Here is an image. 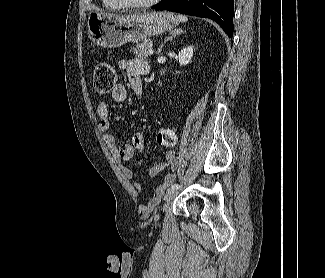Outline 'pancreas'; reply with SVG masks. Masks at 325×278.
<instances>
[{"mask_svg":"<svg viewBox=\"0 0 325 278\" xmlns=\"http://www.w3.org/2000/svg\"><path fill=\"white\" fill-rule=\"evenodd\" d=\"M152 47V40L147 39L140 44L133 47L134 55L138 59H145L148 57V49Z\"/></svg>","mask_w":325,"mask_h":278,"instance_id":"cf45deb5","label":"pancreas"}]
</instances>
